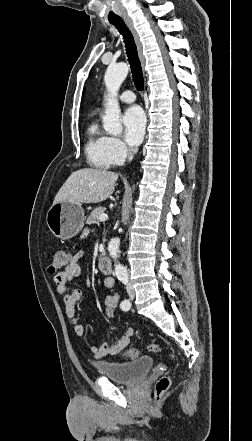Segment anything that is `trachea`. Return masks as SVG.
<instances>
[{"label":"trachea","instance_id":"obj_1","mask_svg":"<svg viewBox=\"0 0 252 441\" xmlns=\"http://www.w3.org/2000/svg\"><path fill=\"white\" fill-rule=\"evenodd\" d=\"M110 23L114 25L123 36L135 87L138 91H142L144 87V78L134 37L123 20H114L110 21Z\"/></svg>","mask_w":252,"mask_h":441}]
</instances>
